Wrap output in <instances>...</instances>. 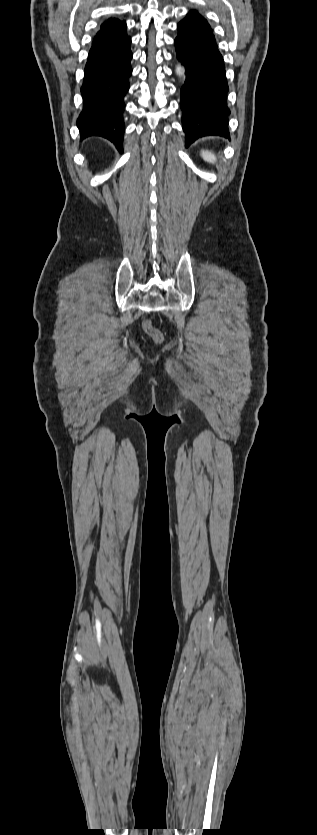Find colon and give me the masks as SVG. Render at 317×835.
Instances as JSON below:
<instances>
[{
	"instance_id": "5ec220e1",
	"label": "colon",
	"mask_w": 317,
	"mask_h": 835,
	"mask_svg": "<svg viewBox=\"0 0 317 835\" xmlns=\"http://www.w3.org/2000/svg\"><path fill=\"white\" fill-rule=\"evenodd\" d=\"M144 332L156 343L163 340L162 332L153 325L150 320H145L142 324Z\"/></svg>"
}]
</instances>
